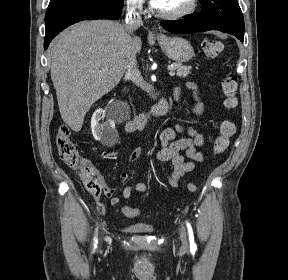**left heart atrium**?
Returning <instances> with one entry per match:
<instances>
[{"mask_svg": "<svg viewBox=\"0 0 288 280\" xmlns=\"http://www.w3.org/2000/svg\"><path fill=\"white\" fill-rule=\"evenodd\" d=\"M163 2L164 0H151L152 5L156 8H161Z\"/></svg>", "mask_w": 288, "mask_h": 280, "instance_id": "39dd6f15", "label": "left heart atrium"}]
</instances>
